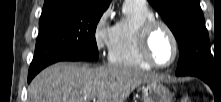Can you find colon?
Wrapping results in <instances>:
<instances>
[{
  "label": "colon",
  "instance_id": "colon-1",
  "mask_svg": "<svg viewBox=\"0 0 221 102\" xmlns=\"http://www.w3.org/2000/svg\"><path fill=\"white\" fill-rule=\"evenodd\" d=\"M182 102H190L189 97L188 96L183 97Z\"/></svg>",
  "mask_w": 221,
  "mask_h": 102
}]
</instances>
